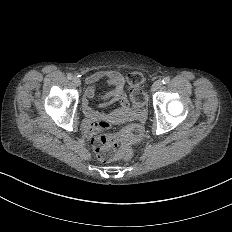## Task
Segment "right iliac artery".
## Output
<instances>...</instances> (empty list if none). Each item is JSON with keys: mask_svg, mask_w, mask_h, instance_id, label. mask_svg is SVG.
<instances>
[{"mask_svg": "<svg viewBox=\"0 0 232 232\" xmlns=\"http://www.w3.org/2000/svg\"><path fill=\"white\" fill-rule=\"evenodd\" d=\"M67 78L71 80L73 78V75L71 73H68Z\"/></svg>", "mask_w": 232, "mask_h": 232, "instance_id": "82829eb1", "label": "right iliac artery"}]
</instances>
